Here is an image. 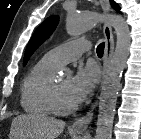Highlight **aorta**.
Wrapping results in <instances>:
<instances>
[{
	"mask_svg": "<svg viewBox=\"0 0 141 139\" xmlns=\"http://www.w3.org/2000/svg\"><path fill=\"white\" fill-rule=\"evenodd\" d=\"M107 20L116 34V47L112 55L99 100V110L95 139H111L120 81L129 57L131 36L126 21L115 14L104 16L99 13H68L66 31L77 37L88 31L101 21Z\"/></svg>",
	"mask_w": 141,
	"mask_h": 139,
	"instance_id": "aorta-1",
	"label": "aorta"
}]
</instances>
